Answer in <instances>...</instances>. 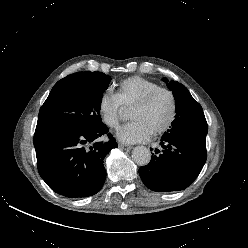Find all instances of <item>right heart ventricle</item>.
<instances>
[{
    "instance_id": "obj_1",
    "label": "right heart ventricle",
    "mask_w": 248,
    "mask_h": 248,
    "mask_svg": "<svg viewBox=\"0 0 248 248\" xmlns=\"http://www.w3.org/2000/svg\"><path fill=\"white\" fill-rule=\"evenodd\" d=\"M160 87L154 81L140 76H133L117 84L115 95L123 107H131L148 92Z\"/></svg>"
}]
</instances>
